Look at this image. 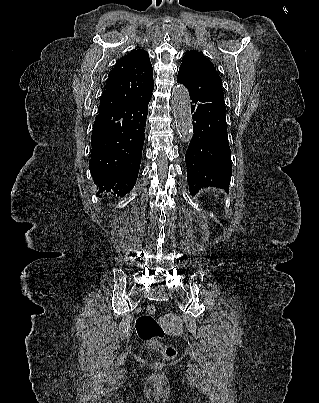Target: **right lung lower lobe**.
I'll return each mask as SVG.
<instances>
[{"label": "right lung lower lobe", "mask_w": 319, "mask_h": 403, "mask_svg": "<svg viewBox=\"0 0 319 403\" xmlns=\"http://www.w3.org/2000/svg\"><path fill=\"white\" fill-rule=\"evenodd\" d=\"M151 96L98 112L91 136L89 168L101 192L112 189L125 195L134 187Z\"/></svg>", "instance_id": "1"}]
</instances>
